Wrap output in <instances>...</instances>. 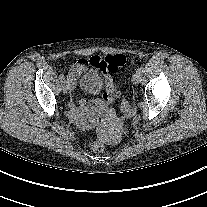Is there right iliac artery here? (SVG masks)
Returning <instances> with one entry per match:
<instances>
[{
  "mask_svg": "<svg viewBox=\"0 0 207 207\" xmlns=\"http://www.w3.org/2000/svg\"><path fill=\"white\" fill-rule=\"evenodd\" d=\"M60 79H61V81L65 80V76H64V74H63V73H62V74H60Z\"/></svg>",
  "mask_w": 207,
  "mask_h": 207,
  "instance_id": "82829eb1",
  "label": "right iliac artery"
}]
</instances>
